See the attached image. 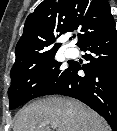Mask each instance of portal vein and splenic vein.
I'll use <instances>...</instances> for the list:
<instances>
[{
    "mask_svg": "<svg viewBox=\"0 0 117 131\" xmlns=\"http://www.w3.org/2000/svg\"><path fill=\"white\" fill-rule=\"evenodd\" d=\"M52 126H53L54 128H56L55 124H52Z\"/></svg>",
    "mask_w": 117,
    "mask_h": 131,
    "instance_id": "portal-vein-and-splenic-vein-1",
    "label": "portal vein and splenic vein"
}]
</instances>
